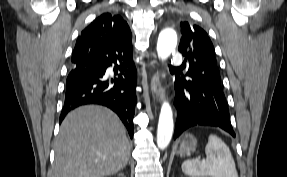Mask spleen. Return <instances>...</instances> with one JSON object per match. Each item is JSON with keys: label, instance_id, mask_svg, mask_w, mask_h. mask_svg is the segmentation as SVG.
<instances>
[{"label": "spleen", "instance_id": "3e777b00", "mask_svg": "<svg viewBox=\"0 0 287 177\" xmlns=\"http://www.w3.org/2000/svg\"><path fill=\"white\" fill-rule=\"evenodd\" d=\"M206 160H186L182 171L191 177H238L229 147L216 135L208 137Z\"/></svg>", "mask_w": 287, "mask_h": 177}]
</instances>
